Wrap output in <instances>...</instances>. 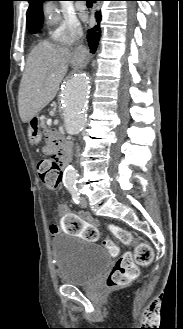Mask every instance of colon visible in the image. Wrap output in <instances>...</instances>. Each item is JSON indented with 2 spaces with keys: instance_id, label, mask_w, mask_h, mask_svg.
<instances>
[{
  "instance_id": "colon-1",
  "label": "colon",
  "mask_w": 183,
  "mask_h": 329,
  "mask_svg": "<svg viewBox=\"0 0 183 329\" xmlns=\"http://www.w3.org/2000/svg\"><path fill=\"white\" fill-rule=\"evenodd\" d=\"M37 169L40 179L45 186L54 192L60 190L63 170L61 164L55 157L51 156L41 159L37 165ZM65 220L81 219L74 216L73 219ZM112 231L123 244L130 245L132 243V236L129 232L116 226L112 227ZM103 245L112 255L117 254L118 250L113 241L107 239L103 242ZM151 260V247L145 243L137 244L133 253H125L117 259L108 275L107 286L110 288H117L126 285L136 278L138 274L137 265H148Z\"/></svg>"
}]
</instances>
